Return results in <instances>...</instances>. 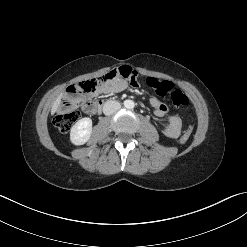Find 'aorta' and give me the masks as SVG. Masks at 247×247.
Returning <instances> with one entry per match:
<instances>
[{"mask_svg":"<svg viewBox=\"0 0 247 247\" xmlns=\"http://www.w3.org/2000/svg\"><path fill=\"white\" fill-rule=\"evenodd\" d=\"M124 106L127 109H133L135 104H134V102L132 100H125L124 101Z\"/></svg>","mask_w":247,"mask_h":247,"instance_id":"762f6f07","label":"aorta"}]
</instances>
